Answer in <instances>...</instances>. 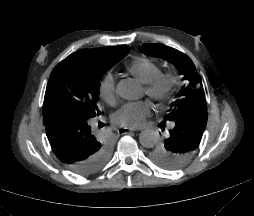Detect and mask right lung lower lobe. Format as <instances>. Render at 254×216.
Here are the masks:
<instances>
[{
	"instance_id": "obj_1",
	"label": "right lung lower lobe",
	"mask_w": 254,
	"mask_h": 216,
	"mask_svg": "<svg viewBox=\"0 0 254 216\" xmlns=\"http://www.w3.org/2000/svg\"><path fill=\"white\" fill-rule=\"evenodd\" d=\"M43 123L54 154L71 170L84 175L99 161L104 150L94 136L91 119L53 113L44 116Z\"/></svg>"
}]
</instances>
